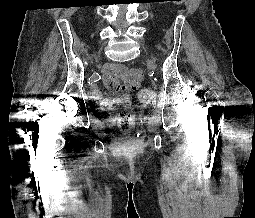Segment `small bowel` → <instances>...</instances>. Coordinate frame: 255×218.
<instances>
[{"label": "small bowel", "instance_id": "1", "mask_svg": "<svg viewBox=\"0 0 255 218\" xmlns=\"http://www.w3.org/2000/svg\"><path fill=\"white\" fill-rule=\"evenodd\" d=\"M103 77H104V79L113 78V79H117L119 81L129 82L132 84V83L141 81L142 73L137 68L128 69L122 64L109 63L104 68ZM92 95L96 99L102 98L101 91L99 90L98 87H94L92 89ZM128 99L129 98L127 96H123V97H119V98L115 99L114 101L119 103V102L127 101Z\"/></svg>", "mask_w": 255, "mask_h": 218}]
</instances>
